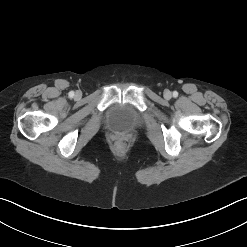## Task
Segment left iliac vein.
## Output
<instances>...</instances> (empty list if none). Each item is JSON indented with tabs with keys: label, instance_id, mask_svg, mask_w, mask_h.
Segmentation results:
<instances>
[{
	"label": "left iliac vein",
	"instance_id": "obj_1",
	"mask_svg": "<svg viewBox=\"0 0 247 247\" xmlns=\"http://www.w3.org/2000/svg\"><path fill=\"white\" fill-rule=\"evenodd\" d=\"M164 97L165 99H170L172 97V94L169 90L164 91Z\"/></svg>",
	"mask_w": 247,
	"mask_h": 247
}]
</instances>
